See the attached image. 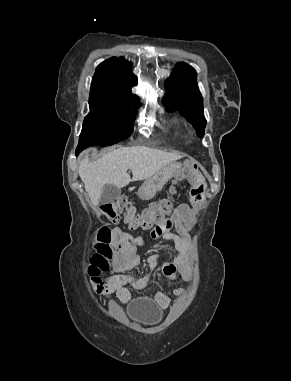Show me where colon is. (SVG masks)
<instances>
[{"label":"colon","mask_w":291,"mask_h":381,"mask_svg":"<svg viewBox=\"0 0 291 381\" xmlns=\"http://www.w3.org/2000/svg\"><path fill=\"white\" fill-rule=\"evenodd\" d=\"M204 187L196 183L191 191L193 203L200 204L203 200ZM102 216L109 222L125 221L129 231L151 230L163 224L172 212V203L163 199L151 204L142 211H137L125 198L110 201L100 207ZM126 233L108 226H102L96 238L95 252L91 257L89 273L97 276L110 267L116 251L126 247Z\"/></svg>","instance_id":"1"}]
</instances>
